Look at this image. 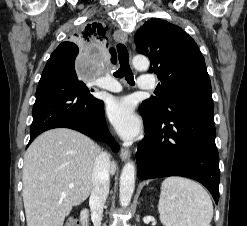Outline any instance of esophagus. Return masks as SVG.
Here are the masks:
<instances>
[{
	"label": "esophagus",
	"instance_id": "34e87169",
	"mask_svg": "<svg viewBox=\"0 0 247 226\" xmlns=\"http://www.w3.org/2000/svg\"><path fill=\"white\" fill-rule=\"evenodd\" d=\"M114 37L116 40L122 42V43H126L127 42V38L128 35L126 32L122 31V30H117L114 34ZM120 157L122 159V161H127L130 158V151L129 149L126 148H122L121 152H120Z\"/></svg>",
	"mask_w": 247,
	"mask_h": 226
}]
</instances>
